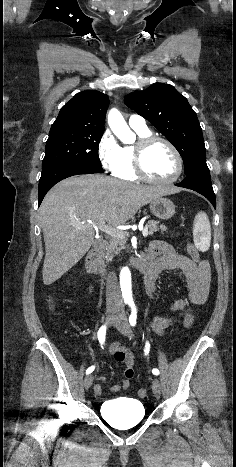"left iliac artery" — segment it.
Returning <instances> with one entry per match:
<instances>
[{
	"label": "left iliac artery",
	"mask_w": 236,
	"mask_h": 467,
	"mask_svg": "<svg viewBox=\"0 0 236 467\" xmlns=\"http://www.w3.org/2000/svg\"><path fill=\"white\" fill-rule=\"evenodd\" d=\"M129 306L131 307V314L129 316V323H130L131 326H135L136 325V319H137V309H136V306H135L134 302H130ZM144 351H145V355H147L149 353V351H150L149 342H146ZM152 373L154 375H158L159 370L155 368V369L152 370Z\"/></svg>",
	"instance_id": "left-iliac-artery-1"
}]
</instances>
